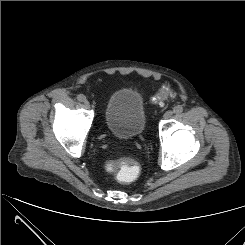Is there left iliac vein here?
<instances>
[{"mask_svg": "<svg viewBox=\"0 0 245 245\" xmlns=\"http://www.w3.org/2000/svg\"><path fill=\"white\" fill-rule=\"evenodd\" d=\"M172 116H173V111L168 110V111H166V112L164 113L163 118H164V119H169V118H171Z\"/></svg>", "mask_w": 245, "mask_h": 245, "instance_id": "obj_1", "label": "left iliac vein"}]
</instances>
